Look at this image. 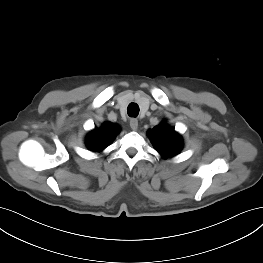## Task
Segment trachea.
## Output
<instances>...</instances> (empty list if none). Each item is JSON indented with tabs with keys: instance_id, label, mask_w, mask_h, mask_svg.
Instances as JSON below:
<instances>
[{
	"instance_id": "3493384b",
	"label": "trachea",
	"mask_w": 263,
	"mask_h": 263,
	"mask_svg": "<svg viewBox=\"0 0 263 263\" xmlns=\"http://www.w3.org/2000/svg\"><path fill=\"white\" fill-rule=\"evenodd\" d=\"M127 114L130 117H137L139 114V106L136 103H130L127 108Z\"/></svg>"
}]
</instances>
